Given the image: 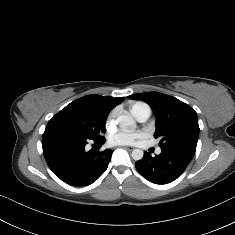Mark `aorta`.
Masks as SVG:
<instances>
[{"label":"aorta","instance_id":"1","mask_svg":"<svg viewBox=\"0 0 235 235\" xmlns=\"http://www.w3.org/2000/svg\"><path fill=\"white\" fill-rule=\"evenodd\" d=\"M117 121L121 129H128V128L136 127V122L134 118L132 117V115L130 114L120 115L117 118ZM131 155L134 160L138 161L143 158L144 152L141 149H134Z\"/></svg>","mask_w":235,"mask_h":235}]
</instances>
